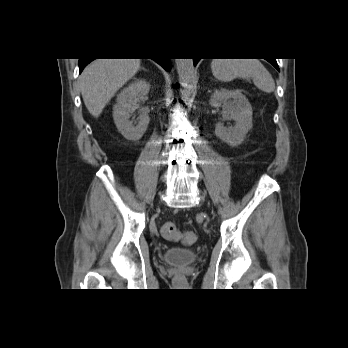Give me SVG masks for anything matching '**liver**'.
<instances>
[{"label": "liver", "instance_id": "1", "mask_svg": "<svg viewBox=\"0 0 348 348\" xmlns=\"http://www.w3.org/2000/svg\"><path fill=\"white\" fill-rule=\"evenodd\" d=\"M140 59H96L80 76V90L86 108L99 117L116 92L140 69Z\"/></svg>", "mask_w": 348, "mask_h": 348}]
</instances>
